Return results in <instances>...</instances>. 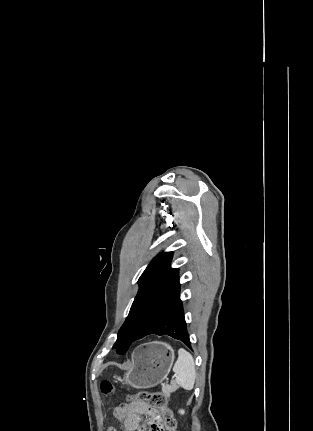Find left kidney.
I'll use <instances>...</instances> for the list:
<instances>
[{
	"mask_svg": "<svg viewBox=\"0 0 313 431\" xmlns=\"http://www.w3.org/2000/svg\"><path fill=\"white\" fill-rule=\"evenodd\" d=\"M179 412H180V414H184V410H180Z\"/></svg>",
	"mask_w": 313,
	"mask_h": 431,
	"instance_id": "obj_1",
	"label": "left kidney"
}]
</instances>
